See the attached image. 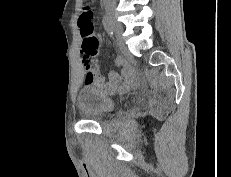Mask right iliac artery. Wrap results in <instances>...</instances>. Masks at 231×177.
<instances>
[{"mask_svg": "<svg viewBox=\"0 0 231 177\" xmlns=\"http://www.w3.org/2000/svg\"><path fill=\"white\" fill-rule=\"evenodd\" d=\"M102 22H103V26H104L105 30L107 31L108 35L110 37H112L113 34H114V31H113V27L111 25V22L109 21V19L107 18V16L103 17Z\"/></svg>", "mask_w": 231, "mask_h": 177, "instance_id": "obj_1", "label": "right iliac artery"}]
</instances>
